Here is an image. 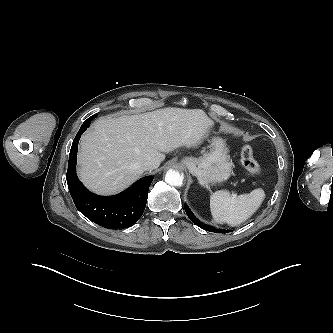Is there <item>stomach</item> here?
Listing matches in <instances>:
<instances>
[{
	"mask_svg": "<svg viewBox=\"0 0 333 333\" xmlns=\"http://www.w3.org/2000/svg\"><path fill=\"white\" fill-rule=\"evenodd\" d=\"M229 149L225 140L213 138L210 151L201 158L184 157L181 164L189 172L197 177L202 186H208L215 182L226 181L232 172V163L228 155Z\"/></svg>",
	"mask_w": 333,
	"mask_h": 333,
	"instance_id": "0dacf381",
	"label": "stomach"
}]
</instances>
